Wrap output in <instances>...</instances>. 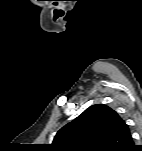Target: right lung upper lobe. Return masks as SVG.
I'll return each mask as SVG.
<instances>
[{
  "label": "right lung upper lobe",
  "mask_w": 142,
  "mask_h": 151,
  "mask_svg": "<svg viewBox=\"0 0 142 151\" xmlns=\"http://www.w3.org/2000/svg\"><path fill=\"white\" fill-rule=\"evenodd\" d=\"M125 121L110 107L96 104L61 128L51 144L55 151H131Z\"/></svg>",
  "instance_id": "right-lung-upper-lobe-1"
}]
</instances>
